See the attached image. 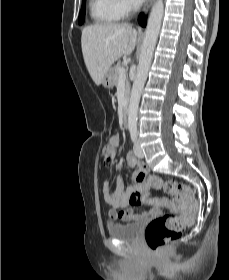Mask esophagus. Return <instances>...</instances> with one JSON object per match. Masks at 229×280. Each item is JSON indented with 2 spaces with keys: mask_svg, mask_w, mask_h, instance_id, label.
<instances>
[{
  "mask_svg": "<svg viewBox=\"0 0 229 280\" xmlns=\"http://www.w3.org/2000/svg\"><path fill=\"white\" fill-rule=\"evenodd\" d=\"M153 2H154V0H147L145 6L143 8V12H147Z\"/></svg>",
  "mask_w": 229,
  "mask_h": 280,
  "instance_id": "esophagus-1",
  "label": "esophagus"
}]
</instances>
